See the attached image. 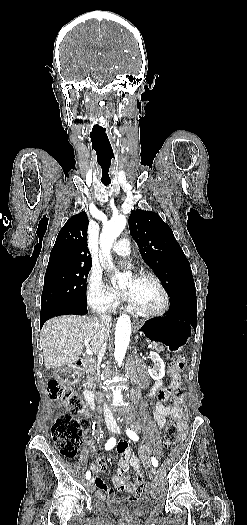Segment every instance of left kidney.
<instances>
[{
    "instance_id": "obj_1",
    "label": "left kidney",
    "mask_w": 247,
    "mask_h": 525,
    "mask_svg": "<svg viewBox=\"0 0 247 525\" xmlns=\"http://www.w3.org/2000/svg\"><path fill=\"white\" fill-rule=\"evenodd\" d=\"M150 357L152 359V361H154L156 367L155 369H153V371H150V375H153V377H163L165 371V365L162 361V359H160L159 355H157V353H153V351H151L150 353Z\"/></svg>"
}]
</instances>
